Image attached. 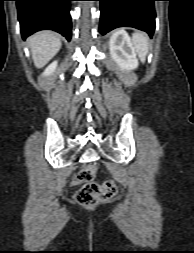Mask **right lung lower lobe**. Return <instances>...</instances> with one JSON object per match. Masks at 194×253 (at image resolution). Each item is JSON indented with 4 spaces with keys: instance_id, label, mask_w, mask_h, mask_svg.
<instances>
[{
    "instance_id": "right-lung-lower-lobe-1",
    "label": "right lung lower lobe",
    "mask_w": 194,
    "mask_h": 253,
    "mask_svg": "<svg viewBox=\"0 0 194 253\" xmlns=\"http://www.w3.org/2000/svg\"><path fill=\"white\" fill-rule=\"evenodd\" d=\"M22 37L45 29L71 39L70 1L72 0H15Z\"/></svg>"
}]
</instances>
